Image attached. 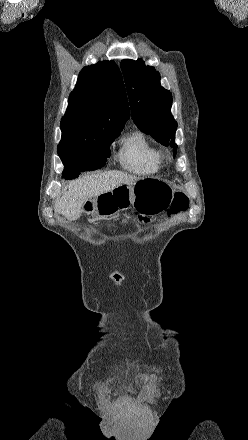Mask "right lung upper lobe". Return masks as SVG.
<instances>
[{
	"label": "right lung upper lobe",
	"instance_id": "obj_1",
	"mask_svg": "<svg viewBox=\"0 0 248 440\" xmlns=\"http://www.w3.org/2000/svg\"><path fill=\"white\" fill-rule=\"evenodd\" d=\"M130 117L126 91L118 66L102 61L84 67L61 120L58 148L71 146L96 133L121 131Z\"/></svg>",
	"mask_w": 248,
	"mask_h": 440
}]
</instances>
